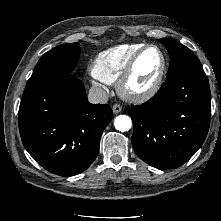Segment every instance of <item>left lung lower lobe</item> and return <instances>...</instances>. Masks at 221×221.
<instances>
[{
  "label": "left lung lower lobe",
  "instance_id": "0a47b994",
  "mask_svg": "<svg viewBox=\"0 0 221 221\" xmlns=\"http://www.w3.org/2000/svg\"><path fill=\"white\" fill-rule=\"evenodd\" d=\"M135 153L158 169L186 163L203 144L210 126L211 94L201 65L182 69L143 105L128 109Z\"/></svg>",
  "mask_w": 221,
  "mask_h": 221
}]
</instances>
